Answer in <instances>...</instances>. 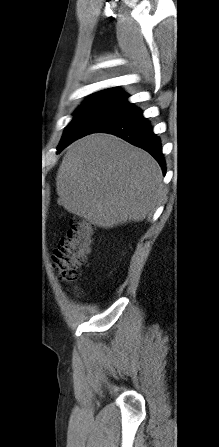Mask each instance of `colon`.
<instances>
[{
	"mask_svg": "<svg viewBox=\"0 0 219 447\" xmlns=\"http://www.w3.org/2000/svg\"><path fill=\"white\" fill-rule=\"evenodd\" d=\"M93 241L92 225L81 219H73L69 230L53 254L54 266L61 281L74 283L80 275V268L86 264Z\"/></svg>",
	"mask_w": 219,
	"mask_h": 447,
	"instance_id": "1",
	"label": "colon"
}]
</instances>
